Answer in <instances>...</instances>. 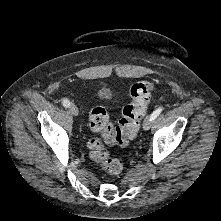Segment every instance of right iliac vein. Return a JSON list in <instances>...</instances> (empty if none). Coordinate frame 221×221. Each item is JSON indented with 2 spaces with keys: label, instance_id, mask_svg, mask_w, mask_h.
Instances as JSON below:
<instances>
[{
  "label": "right iliac vein",
  "instance_id": "right-iliac-vein-1",
  "mask_svg": "<svg viewBox=\"0 0 221 221\" xmlns=\"http://www.w3.org/2000/svg\"><path fill=\"white\" fill-rule=\"evenodd\" d=\"M70 112L72 113L73 116H78L79 111H78L77 106L76 105H71L70 106Z\"/></svg>",
  "mask_w": 221,
  "mask_h": 221
}]
</instances>
